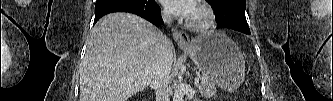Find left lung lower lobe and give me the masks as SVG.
<instances>
[{
  "label": "left lung lower lobe",
  "mask_w": 333,
  "mask_h": 101,
  "mask_svg": "<svg viewBox=\"0 0 333 101\" xmlns=\"http://www.w3.org/2000/svg\"><path fill=\"white\" fill-rule=\"evenodd\" d=\"M226 0H213V1H208L211 6L214 9L215 15H216V20H217V28H229L233 29L245 34H250V29L247 24L246 18L245 19H233L230 20L229 17L224 16L225 19L223 18L222 15H220L221 7L224 4ZM229 1H234L235 5L237 8H246V1L245 0H229ZM229 20V22H227Z\"/></svg>",
  "instance_id": "0a47b994"
}]
</instances>
